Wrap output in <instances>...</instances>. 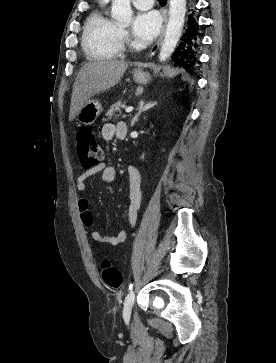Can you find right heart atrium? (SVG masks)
<instances>
[{
    "instance_id": "right-heart-atrium-1",
    "label": "right heart atrium",
    "mask_w": 276,
    "mask_h": 363,
    "mask_svg": "<svg viewBox=\"0 0 276 363\" xmlns=\"http://www.w3.org/2000/svg\"><path fill=\"white\" fill-rule=\"evenodd\" d=\"M123 35H126V32L125 31H123Z\"/></svg>"
}]
</instances>
